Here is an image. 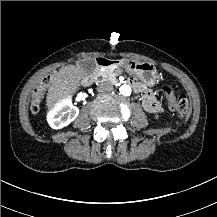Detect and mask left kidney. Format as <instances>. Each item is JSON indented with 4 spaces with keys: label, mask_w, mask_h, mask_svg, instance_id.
<instances>
[{
    "label": "left kidney",
    "mask_w": 217,
    "mask_h": 217,
    "mask_svg": "<svg viewBox=\"0 0 217 217\" xmlns=\"http://www.w3.org/2000/svg\"><path fill=\"white\" fill-rule=\"evenodd\" d=\"M153 118H154L155 121H160V115L157 114V113L154 114Z\"/></svg>",
    "instance_id": "1"
}]
</instances>
